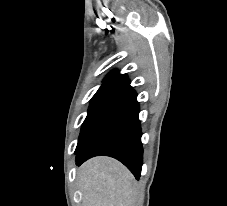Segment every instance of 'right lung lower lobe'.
Segmentation results:
<instances>
[{
    "label": "right lung lower lobe",
    "instance_id": "98d812e1",
    "mask_svg": "<svg viewBox=\"0 0 227 206\" xmlns=\"http://www.w3.org/2000/svg\"><path fill=\"white\" fill-rule=\"evenodd\" d=\"M136 97L130 86L129 91L99 118L75 151L77 165L91 157L106 155L122 162L136 179L140 178L143 148Z\"/></svg>",
    "mask_w": 227,
    "mask_h": 206
}]
</instances>
